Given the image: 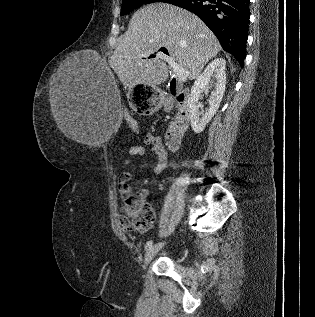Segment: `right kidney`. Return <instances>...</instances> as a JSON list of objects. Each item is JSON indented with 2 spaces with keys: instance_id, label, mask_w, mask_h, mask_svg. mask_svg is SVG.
Masks as SVG:
<instances>
[{
  "instance_id": "obj_1",
  "label": "right kidney",
  "mask_w": 315,
  "mask_h": 317,
  "mask_svg": "<svg viewBox=\"0 0 315 317\" xmlns=\"http://www.w3.org/2000/svg\"><path fill=\"white\" fill-rule=\"evenodd\" d=\"M225 67V59H214L207 65L204 72L197 77L192 86L190 97L188 98V110L190 113L191 127L195 133H201L219 109L226 86ZM211 77L214 78L213 83L215 84V90L211 93L208 100L209 110L204 114L199 111L201 105L198 100L201 94L211 87Z\"/></svg>"
}]
</instances>
